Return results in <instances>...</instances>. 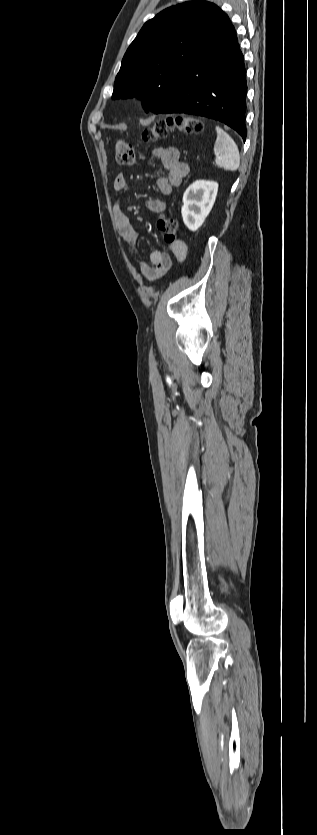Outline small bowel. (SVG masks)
Segmentation results:
<instances>
[{
    "label": "small bowel",
    "mask_w": 317,
    "mask_h": 835,
    "mask_svg": "<svg viewBox=\"0 0 317 835\" xmlns=\"http://www.w3.org/2000/svg\"><path fill=\"white\" fill-rule=\"evenodd\" d=\"M153 154L159 158L165 169V175L156 179V188L162 195L168 196L172 193L173 187L180 186L183 179L188 175L189 165L180 160L179 151L175 147L157 148L153 151ZM113 187L118 192L126 189L127 179L123 173L117 174ZM146 207L153 213H161L165 210V203L162 199L151 198L146 201ZM113 216L118 233L140 258V269L143 278L154 281L171 268L172 258L168 253L153 251L148 261L141 257L137 248L138 233L118 203L113 207ZM169 249L178 262H182L186 258L187 247L184 242L172 243Z\"/></svg>",
    "instance_id": "1"
}]
</instances>
